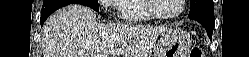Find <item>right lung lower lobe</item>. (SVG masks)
Returning a JSON list of instances; mask_svg holds the SVG:
<instances>
[{
  "label": "right lung lower lobe",
  "mask_w": 249,
  "mask_h": 57,
  "mask_svg": "<svg viewBox=\"0 0 249 57\" xmlns=\"http://www.w3.org/2000/svg\"><path fill=\"white\" fill-rule=\"evenodd\" d=\"M72 3H78L83 5L82 0H44L41 11L40 24L43 25L47 17L57 9Z\"/></svg>",
  "instance_id": "right-lung-lower-lobe-1"
}]
</instances>
